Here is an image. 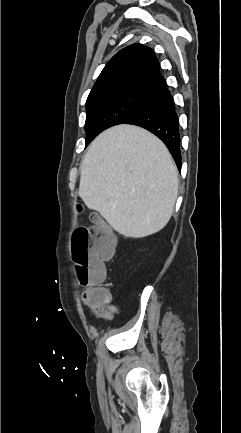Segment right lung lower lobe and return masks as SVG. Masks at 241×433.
Returning a JSON list of instances; mask_svg holds the SVG:
<instances>
[{
	"label": "right lung lower lobe",
	"mask_w": 241,
	"mask_h": 433,
	"mask_svg": "<svg viewBox=\"0 0 241 433\" xmlns=\"http://www.w3.org/2000/svg\"><path fill=\"white\" fill-rule=\"evenodd\" d=\"M123 124L141 126L159 137L181 169L179 120L166 84L156 89L145 105Z\"/></svg>",
	"instance_id": "obj_1"
}]
</instances>
